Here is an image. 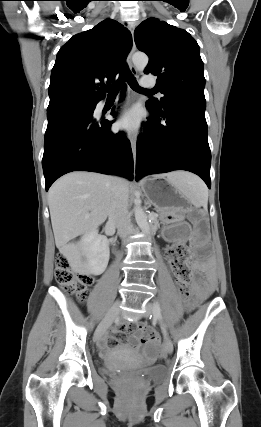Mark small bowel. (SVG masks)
<instances>
[{"label": "small bowel", "mask_w": 261, "mask_h": 427, "mask_svg": "<svg viewBox=\"0 0 261 427\" xmlns=\"http://www.w3.org/2000/svg\"><path fill=\"white\" fill-rule=\"evenodd\" d=\"M213 282L211 280H208L207 285H201L196 284L194 287V297L193 299L188 303V308L193 307L200 299L205 297L212 289ZM128 329L131 333H136L141 329V324L137 320H132L131 323L128 324ZM127 327L123 324H120L114 331L113 334L109 335L107 339L104 341H101L100 346L102 348L108 347L112 348L122 341V337L124 336ZM129 344L133 348H137L139 346V340L137 335H131L129 337ZM158 350V339L155 337L153 340H151L148 345L146 346V354L150 357H154Z\"/></svg>", "instance_id": "obj_1"}]
</instances>
